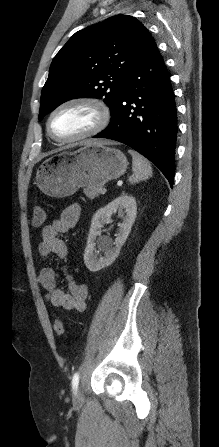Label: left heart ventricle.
Returning a JSON list of instances; mask_svg holds the SVG:
<instances>
[{"label":"left heart ventricle","instance_id":"left-heart-ventricle-1","mask_svg":"<svg viewBox=\"0 0 219 447\" xmlns=\"http://www.w3.org/2000/svg\"><path fill=\"white\" fill-rule=\"evenodd\" d=\"M94 113L86 107L75 106L61 110L51 123L52 131L61 138L80 135L95 123Z\"/></svg>","mask_w":219,"mask_h":447}]
</instances>
